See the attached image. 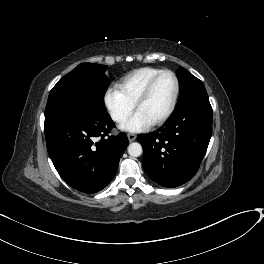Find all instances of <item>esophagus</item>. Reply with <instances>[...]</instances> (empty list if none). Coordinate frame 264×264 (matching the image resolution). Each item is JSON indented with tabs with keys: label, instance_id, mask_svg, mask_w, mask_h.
<instances>
[{
	"label": "esophagus",
	"instance_id": "obj_1",
	"mask_svg": "<svg viewBox=\"0 0 264 264\" xmlns=\"http://www.w3.org/2000/svg\"><path fill=\"white\" fill-rule=\"evenodd\" d=\"M127 136L130 142H133L137 137L136 134H133V133H129Z\"/></svg>",
	"mask_w": 264,
	"mask_h": 264
}]
</instances>
